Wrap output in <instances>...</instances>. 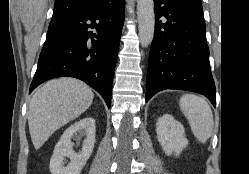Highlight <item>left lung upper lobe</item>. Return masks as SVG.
<instances>
[{
	"label": "left lung upper lobe",
	"mask_w": 249,
	"mask_h": 174,
	"mask_svg": "<svg viewBox=\"0 0 249 174\" xmlns=\"http://www.w3.org/2000/svg\"><path fill=\"white\" fill-rule=\"evenodd\" d=\"M189 12L203 18V8L201 0H174Z\"/></svg>",
	"instance_id": "1"
}]
</instances>
